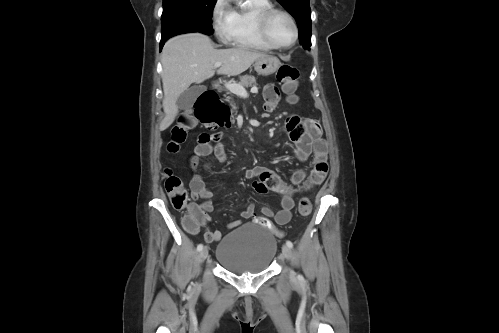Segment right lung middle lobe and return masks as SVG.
<instances>
[{
    "label": "right lung middle lobe",
    "mask_w": 499,
    "mask_h": 333,
    "mask_svg": "<svg viewBox=\"0 0 499 333\" xmlns=\"http://www.w3.org/2000/svg\"><path fill=\"white\" fill-rule=\"evenodd\" d=\"M217 0H163L162 39L174 35L213 33L212 10Z\"/></svg>",
    "instance_id": "dd1d6c3e"
}]
</instances>
